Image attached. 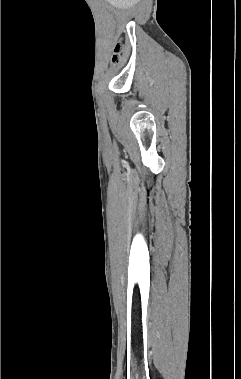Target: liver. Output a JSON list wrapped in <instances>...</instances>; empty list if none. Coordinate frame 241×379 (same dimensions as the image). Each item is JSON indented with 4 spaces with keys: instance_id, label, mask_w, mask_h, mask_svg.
<instances>
[{
    "instance_id": "6515ba94",
    "label": "liver",
    "mask_w": 241,
    "mask_h": 379,
    "mask_svg": "<svg viewBox=\"0 0 241 379\" xmlns=\"http://www.w3.org/2000/svg\"><path fill=\"white\" fill-rule=\"evenodd\" d=\"M111 1L119 7H130L136 2V0H111Z\"/></svg>"
}]
</instances>
